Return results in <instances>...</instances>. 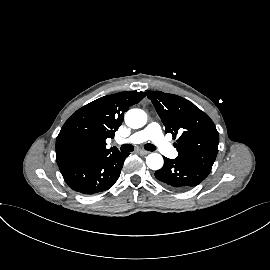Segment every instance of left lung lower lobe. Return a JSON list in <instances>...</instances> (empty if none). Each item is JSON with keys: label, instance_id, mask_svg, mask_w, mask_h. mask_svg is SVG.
Wrapping results in <instances>:
<instances>
[{"label": "left lung lower lobe", "instance_id": "obj_1", "mask_svg": "<svg viewBox=\"0 0 270 270\" xmlns=\"http://www.w3.org/2000/svg\"><path fill=\"white\" fill-rule=\"evenodd\" d=\"M209 173L192 162L164 157V165L155 172V177L172 189L187 190L202 182Z\"/></svg>", "mask_w": 270, "mask_h": 270}]
</instances>
